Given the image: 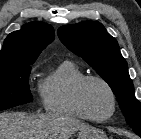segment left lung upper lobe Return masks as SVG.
Wrapping results in <instances>:
<instances>
[{
    "label": "left lung upper lobe",
    "mask_w": 141,
    "mask_h": 139,
    "mask_svg": "<svg viewBox=\"0 0 141 139\" xmlns=\"http://www.w3.org/2000/svg\"><path fill=\"white\" fill-rule=\"evenodd\" d=\"M61 42L81 56L111 87L127 123L141 132V104L135 98L128 65L117 41L97 21L62 26L57 31Z\"/></svg>",
    "instance_id": "obj_1"
}]
</instances>
